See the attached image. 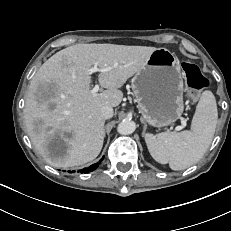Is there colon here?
<instances>
[{
	"label": "colon",
	"mask_w": 231,
	"mask_h": 231,
	"mask_svg": "<svg viewBox=\"0 0 231 231\" xmlns=\"http://www.w3.org/2000/svg\"><path fill=\"white\" fill-rule=\"evenodd\" d=\"M182 70L186 76V83L192 92H199L208 86L207 78L195 64L184 62Z\"/></svg>",
	"instance_id": "5ec220e1"
}]
</instances>
